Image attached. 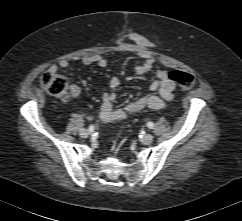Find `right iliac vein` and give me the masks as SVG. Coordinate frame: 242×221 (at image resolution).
I'll use <instances>...</instances> for the list:
<instances>
[{"label": "right iliac vein", "instance_id": "right-iliac-vein-1", "mask_svg": "<svg viewBox=\"0 0 242 221\" xmlns=\"http://www.w3.org/2000/svg\"><path fill=\"white\" fill-rule=\"evenodd\" d=\"M79 134L82 138H87L89 136V131L86 129H82V130H80Z\"/></svg>", "mask_w": 242, "mask_h": 221}]
</instances>
